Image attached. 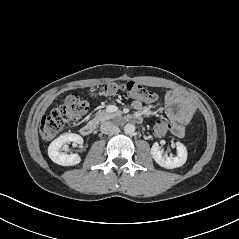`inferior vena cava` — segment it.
Here are the masks:
<instances>
[{
	"instance_id": "inferior-vena-cava-1",
	"label": "inferior vena cava",
	"mask_w": 239,
	"mask_h": 239,
	"mask_svg": "<svg viewBox=\"0 0 239 239\" xmlns=\"http://www.w3.org/2000/svg\"><path fill=\"white\" fill-rule=\"evenodd\" d=\"M100 131L105 134H112L118 131V127L111 121H106L101 124Z\"/></svg>"
}]
</instances>
